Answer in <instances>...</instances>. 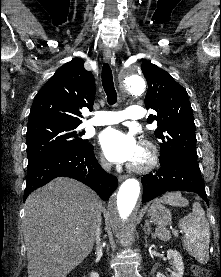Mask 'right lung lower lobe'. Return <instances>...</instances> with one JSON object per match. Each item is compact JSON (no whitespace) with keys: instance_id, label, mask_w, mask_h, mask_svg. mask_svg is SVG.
Masks as SVG:
<instances>
[{"instance_id":"right-lung-lower-lobe-1","label":"right lung lower lobe","mask_w":221,"mask_h":277,"mask_svg":"<svg viewBox=\"0 0 221 277\" xmlns=\"http://www.w3.org/2000/svg\"><path fill=\"white\" fill-rule=\"evenodd\" d=\"M60 176L74 178L92 188L103 200L109 199L118 186L115 176L106 173L93 153V146L86 144L69 153L46 158L29 166L24 201L35 189Z\"/></svg>"}]
</instances>
